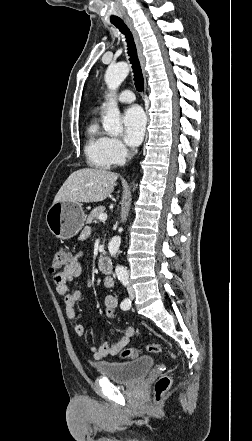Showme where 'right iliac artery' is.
I'll return each instance as SVG.
<instances>
[{"instance_id": "obj_1", "label": "right iliac artery", "mask_w": 252, "mask_h": 441, "mask_svg": "<svg viewBox=\"0 0 252 441\" xmlns=\"http://www.w3.org/2000/svg\"><path fill=\"white\" fill-rule=\"evenodd\" d=\"M121 281H122L123 285H125V286L128 284V281H127V280L122 279ZM129 305H131V300H130L129 298H125V299L121 302V308H122L124 311L128 310Z\"/></svg>"}]
</instances>
